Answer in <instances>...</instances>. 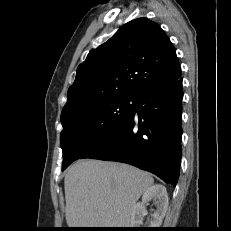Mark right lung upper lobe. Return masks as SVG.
<instances>
[{
  "instance_id": "1",
  "label": "right lung upper lobe",
  "mask_w": 231,
  "mask_h": 231,
  "mask_svg": "<svg viewBox=\"0 0 231 231\" xmlns=\"http://www.w3.org/2000/svg\"><path fill=\"white\" fill-rule=\"evenodd\" d=\"M181 76L175 48L166 33L147 18L132 20L104 44L90 50L77 68L61 116Z\"/></svg>"
}]
</instances>
